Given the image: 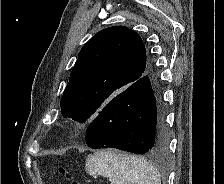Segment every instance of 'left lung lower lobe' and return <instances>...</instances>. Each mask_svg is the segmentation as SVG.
Segmentation results:
<instances>
[{"instance_id":"1","label":"left lung lower lobe","mask_w":224,"mask_h":184,"mask_svg":"<svg viewBox=\"0 0 224 184\" xmlns=\"http://www.w3.org/2000/svg\"><path fill=\"white\" fill-rule=\"evenodd\" d=\"M90 148H117L136 154H161L168 138L157 93L148 75L112 98L90 124Z\"/></svg>"}]
</instances>
